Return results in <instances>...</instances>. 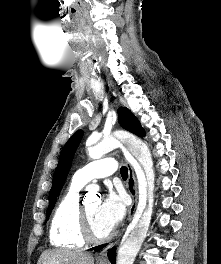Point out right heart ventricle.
<instances>
[{"instance_id": "e07e8e85", "label": "right heart ventricle", "mask_w": 221, "mask_h": 264, "mask_svg": "<svg viewBox=\"0 0 221 264\" xmlns=\"http://www.w3.org/2000/svg\"><path fill=\"white\" fill-rule=\"evenodd\" d=\"M81 188L82 185L72 181L56 206L49 235L56 247L78 249L85 245L78 224Z\"/></svg>"}]
</instances>
